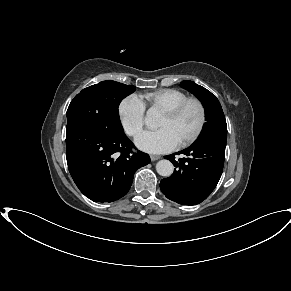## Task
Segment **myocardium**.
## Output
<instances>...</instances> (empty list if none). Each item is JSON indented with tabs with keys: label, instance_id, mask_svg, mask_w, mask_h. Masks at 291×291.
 Listing matches in <instances>:
<instances>
[{
	"label": "myocardium",
	"instance_id": "1",
	"mask_svg": "<svg viewBox=\"0 0 291 291\" xmlns=\"http://www.w3.org/2000/svg\"><path fill=\"white\" fill-rule=\"evenodd\" d=\"M191 104H195L198 106L199 111H200V119H199V124L195 130V132L189 136L187 139H185L184 141L178 143V147L180 148H184L187 147L189 145H191L192 143H194L202 134L205 124H206V120H207V112H206V108L204 103L198 99V98H194V97H188L187 99H185L184 101H182L181 103H179L178 105L174 106L171 109H168L166 111L163 112V115L170 118V119H175L178 116H180L182 114V112Z\"/></svg>",
	"mask_w": 291,
	"mask_h": 291
}]
</instances>
